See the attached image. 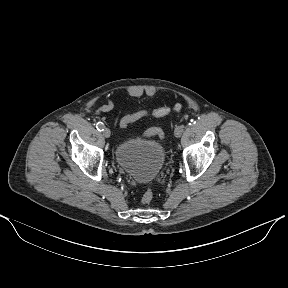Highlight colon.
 <instances>
[{"label": "colon", "mask_w": 288, "mask_h": 288, "mask_svg": "<svg viewBox=\"0 0 288 288\" xmlns=\"http://www.w3.org/2000/svg\"><path fill=\"white\" fill-rule=\"evenodd\" d=\"M171 111L182 112L183 108L180 104H174L173 106H164V107L154 109L152 111L140 110V111H137V112H134V113H131V114L124 116L120 122H121L122 126L127 127L131 123H133V122H135L141 118H144L147 116L163 117V116L168 115ZM145 135L146 136H158L161 139L164 137V133H163L162 129L159 127L149 128L145 132ZM152 199H153V192H152V190L148 189L143 193L141 201L144 204H148L152 201Z\"/></svg>", "instance_id": "obj_1"}]
</instances>
